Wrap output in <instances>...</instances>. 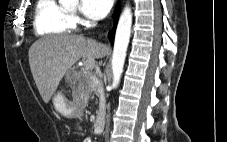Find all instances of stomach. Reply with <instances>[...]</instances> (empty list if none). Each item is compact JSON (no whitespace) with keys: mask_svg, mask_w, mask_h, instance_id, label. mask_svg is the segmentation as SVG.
Listing matches in <instances>:
<instances>
[{"mask_svg":"<svg viewBox=\"0 0 227 142\" xmlns=\"http://www.w3.org/2000/svg\"><path fill=\"white\" fill-rule=\"evenodd\" d=\"M53 104L55 108L66 116H74L76 114V109L70 105L65 97L61 94H55L52 97Z\"/></svg>","mask_w":227,"mask_h":142,"instance_id":"stomach-1","label":"stomach"}]
</instances>
